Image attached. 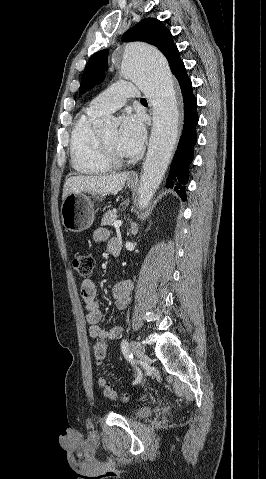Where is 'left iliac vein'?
I'll return each instance as SVG.
<instances>
[{
	"label": "left iliac vein",
	"instance_id": "left-iliac-vein-1",
	"mask_svg": "<svg viewBox=\"0 0 266 479\" xmlns=\"http://www.w3.org/2000/svg\"><path fill=\"white\" fill-rule=\"evenodd\" d=\"M131 352L136 355L138 358H145L146 353L143 346L136 341H132L130 345Z\"/></svg>",
	"mask_w": 266,
	"mask_h": 479
}]
</instances>
